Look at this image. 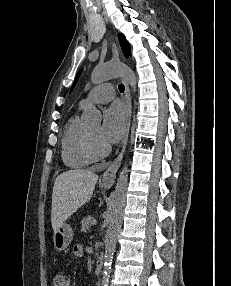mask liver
Masks as SVG:
<instances>
[{
	"label": "liver",
	"instance_id": "obj_1",
	"mask_svg": "<svg viewBox=\"0 0 231 286\" xmlns=\"http://www.w3.org/2000/svg\"><path fill=\"white\" fill-rule=\"evenodd\" d=\"M98 175L76 169L61 173L52 192L51 224L57 230L73 213L90 201Z\"/></svg>",
	"mask_w": 231,
	"mask_h": 286
}]
</instances>
